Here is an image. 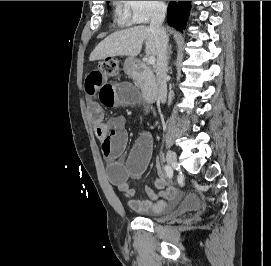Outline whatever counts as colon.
<instances>
[{"mask_svg": "<svg viewBox=\"0 0 271 266\" xmlns=\"http://www.w3.org/2000/svg\"><path fill=\"white\" fill-rule=\"evenodd\" d=\"M98 69L107 76H115L119 73V63L115 59H105L99 63Z\"/></svg>", "mask_w": 271, "mask_h": 266, "instance_id": "1", "label": "colon"}]
</instances>
